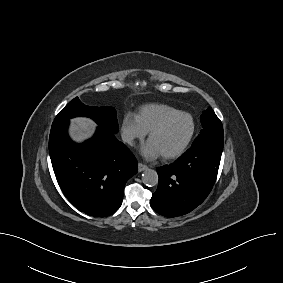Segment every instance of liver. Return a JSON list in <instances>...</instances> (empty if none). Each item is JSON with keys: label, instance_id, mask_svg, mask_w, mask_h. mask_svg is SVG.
<instances>
[{"label": "liver", "instance_id": "1", "mask_svg": "<svg viewBox=\"0 0 283 283\" xmlns=\"http://www.w3.org/2000/svg\"><path fill=\"white\" fill-rule=\"evenodd\" d=\"M96 124L89 118L77 117L71 120L70 135L76 142H82L90 138L95 130Z\"/></svg>", "mask_w": 283, "mask_h": 283}]
</instances>
